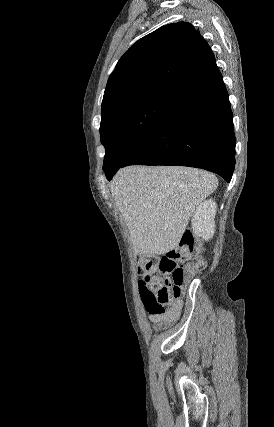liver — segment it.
I'll return each instance as SVG.
<instances>
[{
    "instance_id": "liver-1",
    "label": "liver",
    "mask_w": 274,
    "mask_h": 427,
    "mask_svg": "<svg viewBox=\"0 0 274 427\" xmlns=\"http://www.w3.org/2000/svg\"><path fill=\"white\" fill-rule=\"evenodd\" d=\"M216 188L214 174L182 166H128L110 184L137 255L175 249L195 208Z\"/></svg>"
}]
</instances>
